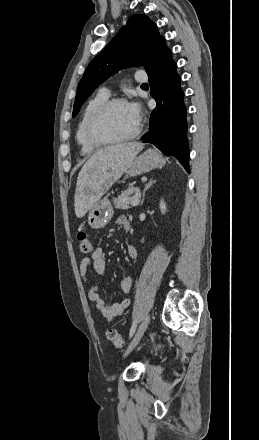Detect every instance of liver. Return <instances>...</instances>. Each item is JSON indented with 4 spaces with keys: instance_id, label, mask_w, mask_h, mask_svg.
<instances>
[{
    "instance_id": "obj_1",
    "label": "liver",
    "mask_w": 259,
    "mask_h": 440,
    "mask_svg": "<svg viewBox=\"0 0 259 440\" xmlns=\"http://www.w3.org/2000/svg\"><path fill=\"white\" fill-rule=\"evenodd\" d=\"M143 149L141 143L112 145L96 151L79 172L75 188V214L82 218L131 166Z\"/></svg>"
}]
</instances>
